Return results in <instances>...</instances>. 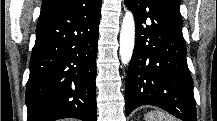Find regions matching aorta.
Listing matches in <instances>:
<instances>
[{"label": "aorta", "mask_w": 217, "mask_h": 121, "mask_svg": "<svg viewBox=\"0 0 217 121\" xmlns=\"http://www.w3.org/2000/svg\"><path fill=\"white\" fill-rule=\"evenodd\" d=\"M135 43V22L131 11H126L120 32V59L124 65L131 60Z\"/></svg>", "instance_id": "1"}]
</instances>
